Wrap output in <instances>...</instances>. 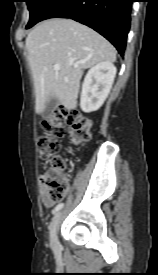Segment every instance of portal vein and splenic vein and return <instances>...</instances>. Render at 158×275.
Wrapping results in <instances>:
<instances>
[{
  "mask_svg": "<svg viewBox=\"0 0 158 275\" xmlns=\"http://www.w3.org/2000/svg\"><path fill=\"white\" fill-rule=\"evenodd\" d=\"M54 70L56 71L60 70V65L59 64L54 65Z\"/></svg>",
  "mask_w": 158,
  "mask_h": 275,
  "instance_id": "obj_1",
  "label": "portal vein and splenic vein"
}]
</instances>
